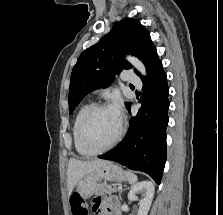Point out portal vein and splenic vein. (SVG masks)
<instances>
[{
	"mask_svg": "<svg viewBox=\"0 0 223 215\" xmlns=\"http://www.w3.org/2000/svg\"><path fill=\"white\" fill-rule=\"evenodd\" d=\"M116 188L122 189V186H119V187H116Z\"/></svg>",
	"mask_w": 223,
	"mask_h": 215,
	"instance_id": "1",
	"label": "portal vein and splenic vein"
}]
</instances>
